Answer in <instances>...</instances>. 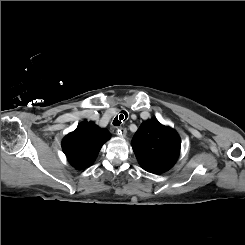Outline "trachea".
<instances>
[{"label":"trachea","instance_id":"1","mask_svg":"<svg viewBox=\"0 0 245 245\" xmlns=\"http://www.w3.org/2000/svg\"><path fill=\"white\" fill-rule=\"evenodd\" d=\"M128 118V114L126 111H121L119 116H116L115 119L113 120V125L119 126Z\"/></svg>","mask_w":245,"mask_h":245}]
</instances>
